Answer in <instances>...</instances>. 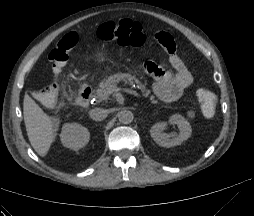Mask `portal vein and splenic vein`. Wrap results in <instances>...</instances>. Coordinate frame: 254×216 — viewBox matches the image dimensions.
Masks as SVG:
<instances>
[{"label":"portal vein and splenic vein","mask_w":254,"mask_h":216,"mask_svg":"<svg viewBox=\"0 0 254 216\" xmlns=\"http://www.w3.org/2000/svg\"><path fill=\"white\" fill-rule=\"evenodd\" d=\"M114 91H117V90L116 89H109L108 90L109 93H112ZM123 91L127 92V93H130V94H133L134 96L140 97V95L134 90L124 89Z\"/></svg>","instance_id":"18ae733b"}]
</instances>
